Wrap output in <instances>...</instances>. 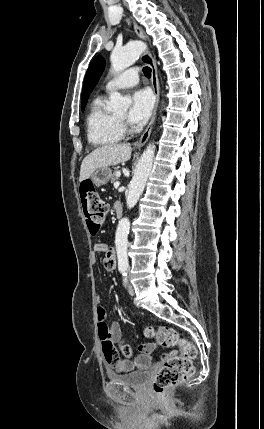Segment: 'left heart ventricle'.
I'll return each instance as SVG.
<instances>
[{"mask_svg":"<svg viewBox=\"0 0 264 429\" xmlns=\"http://www.w3.org/2000/svg\"><path fill=\"white\" fill-rule=\"evenodd\" d=\"M118 118L124 119L126 117V113H121L117 115Z\"/></svg>","mask_w":264,"mask_h":429,"instance_id":"left-heart-ventricle-1","label":"left heart ventricle"}]
</instances>
